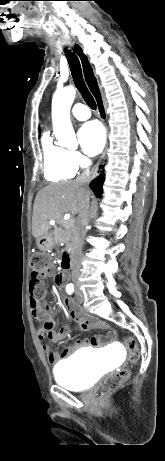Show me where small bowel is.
<instances>
[{
	"instance_id": "1",
	"label": "small bowel",
	"mask_w": 165,
	"mask_h": 461,
	"mask_svg": "<svg viewBox=\"0 0 165 461\" xmlns=\"http://www.w3.org/2000/svg\"><path fill=\"white\" fill-rule=\"evenodd\" d=\"M64 272L56 271L54 282L57 289H62L64 287ZM64 306L69 310L68 319H75L79 327L83 330L90 328L100 329L107 331V339L112 340L115 337L114 331H112L109 326L103 322L93 323L86 319L81 312L75 310L72 307V304L69 300H64ZM31 315L35 321L40 322L41 326L38 329L37 337L40 341H43L46 337L52 342H59L65 339L69 333L70 329L68 325L62 326L58 331H55V319H54V310L51 306L46 305L42 307L40 303L33 297H30L29 300ZM101 344V339L99 337H94L92 339H80L74 342V344L66 348L60 355L53 352L52 348L48 344L43 345V351L48 357L51 363H57L61 359L68 357L74 351L87 347L89 345H99Z\"/></svg>"
}]
</instances>
